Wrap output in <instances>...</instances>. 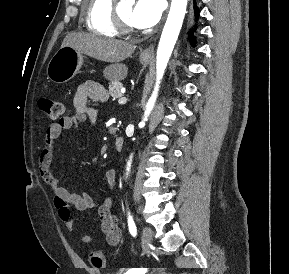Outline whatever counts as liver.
<instances>
[{"instance_id":"liver-1","label":"liver","mask_w":289,"mask_h":274,"mask_svg":"<svg viewBox=\"0 0 289 274\" xmlns=\"http://www.w3.org/2000/svg\"><path fill=\"white\" fill-rule=\"evenodd\" d=\"M64 46H70L97 60L112 63L104 71L105 77L111 81L125 79L128 68L120 62L131 56L136 49V46L130 43L82 33L66 35L61 47Z\"/></svg>"}]
</instances>
